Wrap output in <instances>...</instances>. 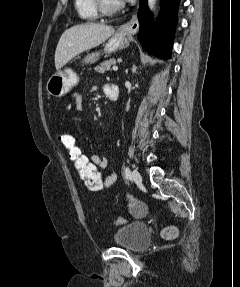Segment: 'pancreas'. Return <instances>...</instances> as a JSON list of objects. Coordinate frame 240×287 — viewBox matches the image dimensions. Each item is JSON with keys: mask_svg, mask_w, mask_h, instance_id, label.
Returning <instances> with one entry per match:
<instances>
[{"mask_svg": "<svg viewBox=\"0 0 240 287\" xmlns=\"http://www.w3.org/2000/svg\"><path fill=\"white\" fill-rule=\"evenodd\" d=\"M116 64V60L115 59H109V60H105L104 62H102L100 64V66L96 67L95 70L98 73H104L106 71H110V68L112 65Z\"/></svg>", "mask_w": 240, "mask_h": 287, "instance_id": "pancreas-1", "label": "pancreas"}]
</instances>
